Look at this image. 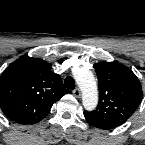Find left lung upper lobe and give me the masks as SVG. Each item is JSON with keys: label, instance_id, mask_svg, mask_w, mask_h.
Segmentation results:
<instances>
[{"label": "left lung upper lobe", "instance_id": "1", "mask_svg": "<svg viewBox=\"0 0 145 145\" xmlns=\"http://www.w3.org/2000/svg\"><path fill=\"white\" fill-rule=\"evenodd\" d=\"M99 83V103L95 110L84 111L87 122L99 129L110 130L127 121L142 99L137 76L126 66L102 62L95 66Z\"/></svg>", "mask_w": 145, "mask_h": 145}]
</instances>
